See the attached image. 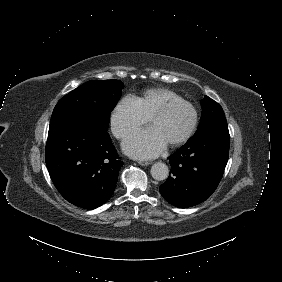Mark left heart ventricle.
I'll list each match as a JSON object with an SVG mask.
<instances>
[{
	"label": "left heart ventricle",
	"instance_id": "b2bd125f",
	"mask_svg": "<svg viewBox=\"0 0 282 282\" xmlns=\"http://www.w3.org/2000/svg\"><path fill=\"white\" fill-rule=\"evenodd\" d=\"M172 100L166 98L161 102L157 110H161L168 105ZM190 115L183 108L174 109L168 114L154 119L152 125L159 129L167 142L179 138L188 127Z\"/></svg>",
	"mask_w": 282,
	"mask_h": 282
}]
</instances>
